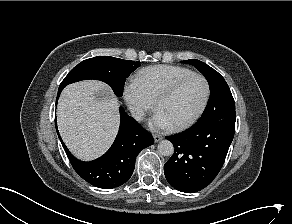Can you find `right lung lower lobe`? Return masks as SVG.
<instances>
[{
  "instance_id": "1",
  "label": "right lung lower lobe",
  "mask_w": 292,
  "mask_h": 224,
  "mask_svg": "<svg viewBox=\"0 0 292 224\" xmlns=\"http://www.w3.org/2000/svg\"><path fill=\"white\" fill-rule=\"evenodd\" d=\"M63 88L59 87L57 99ZM120 116V128L113 145L103 156L90 162L80 161L71 155L56 125L58 137L74 170L85 181L98 188H114L127 182L134 171L139 152L154 143L152 135L133 117L127 115L123 108H120Z\"/></svg>"
}]
</instances>
